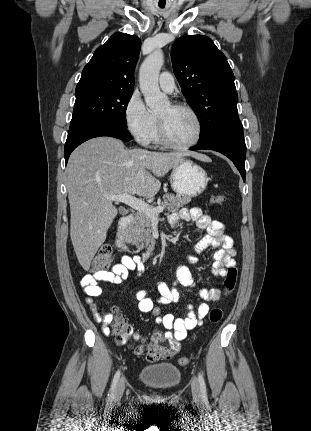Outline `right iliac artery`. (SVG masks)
I'll list each match as a JSON object with an SVG mask.
<instances>
[{
    "mask_svg": "<svg viewBox=\"0 0 311 431\" xmlns=\"http://www.w3.org/2000/svg\"><path fill=\"white\" fill-rule=\"evenodd\" d=\"M119 377H120V371L118 370L115 373V375H114V378H113V381H112V385H111V388H110V391H109V394H108V399H113L114 393H115V390H116V387H117V384H118V381H119Z\"/></svg>",
    "mask_w": 311,
    "mask_h": 431,
    "instance_id": "obj_1",
    "label": "right iliac artery"
}]
</instances>
